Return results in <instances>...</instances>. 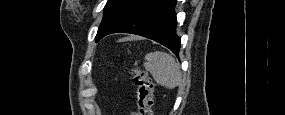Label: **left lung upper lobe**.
<instances>
[{
	"mask_svg": "<svg viewBox=\"0 0 285 115\" xmlns=\"http://www.w3.org/2000/svg\"><path fill=\"white\" fill-rule=\"evenodd\" d=\"M130 0H108L104 7V17L99 26L96 41H98L104 32L106 25L109 21L119 12Z\"/></svg>",
	"mask_w": 285,
	"mask_h": 115,
	"instance_id": "5c2ea615",
	"label": "left lung upper lobe"
}]
</instances>
